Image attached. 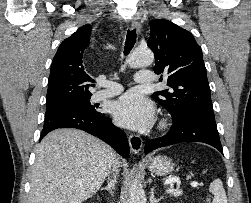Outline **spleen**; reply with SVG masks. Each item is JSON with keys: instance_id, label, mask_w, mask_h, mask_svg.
Instances as JSON below:
<instances>
[{"instance_id": "3e777b00", "label": "spleen", "mask_w": 251, "mask_h": 203, "mask_svg": "<svg viewBox=\"0 0 251 203\" xmlns=\"http://www.w3.org/2000/svg\"><path fill=\"white\" fill-rule=\"evenodd\" d=\"M209 191L214 195V199L212 203H227V197L225 190L223 188L222 181L220 179H215L209 187ZM167 193H170L173 196H179L182 194V190H175L173 188H169ZM210 202V199H208Z\"/></svg>"}]
</instances>
